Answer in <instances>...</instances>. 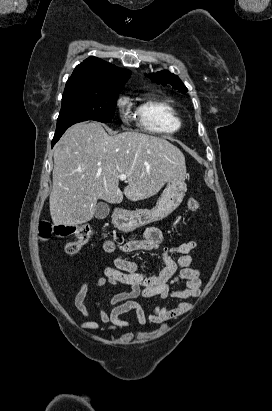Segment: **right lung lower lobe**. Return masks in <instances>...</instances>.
<instances>
[{"mask_svg":"<svg viewBox=\"0 0 272 411\" xmlns=\"http://www.w3.org/2000/svg\"><path fill=\"white\" fill-rule=\"evenodd\" d=\"M60 137H61V136L54 137V139L52 140V147H53V145L59 140Z\"/></svg>","mask_w":272,"mask_h":411,"instance_id":"right-lung-lower-lobe-1","label":"right lung lower lobe"}]
</instances>
